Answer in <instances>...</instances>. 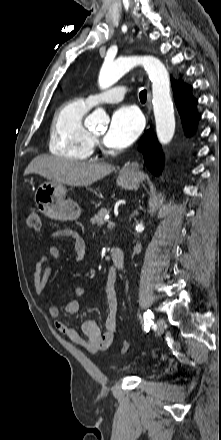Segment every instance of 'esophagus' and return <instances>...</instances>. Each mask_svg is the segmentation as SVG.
I'll list each match as a JSON object with an SVG mask.
<instances>
[{"mask_svg": "<svg viewBox=\"0 0 221 440\" xmlns=\"http://www.w3.org/2000/svg\"><path fill=\"white\" fill-rule=\"evenodd\" d=\"M146 106H147L148 114H150L151 108H152V104H151V93L149 92V90L147 92V103H146ZM140 169H141V165L138 162L133 161L131 163H127L122 168V171L127 173V174L135 175V174H137L140 171Z\"/></svg>", "mask_w": 221, "mask_h": 440, "instance_id": "obj_1", "label": "esophagus"}]
</instances>
